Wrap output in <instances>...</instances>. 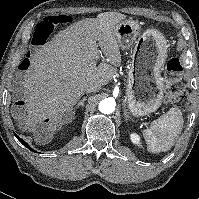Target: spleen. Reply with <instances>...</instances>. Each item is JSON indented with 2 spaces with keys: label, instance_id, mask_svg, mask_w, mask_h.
I'll return each instance as SVG.
<instances>
[{
  "label": "spleen",
  "instance_id": "3e777b00",
  "mask_svg": "<svg viewBox=\"0 0 199 199\" xmlns=\"http://www.w3.org/2000/svg\"><path fill=\"white\" fill-rule=\"evenodd\" d=\"M183 123L182 113L176 107L155 120L149 128L143 131L148 150L152 153L170 150L181 134Z\"/></svg>",
  "mask_w": 199,
  "mask_h": 199
}]
</instances>
